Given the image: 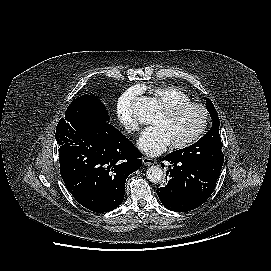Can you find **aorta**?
<instances>
[{"instance_id": "762f6f07", "label": "aorta", "mask_w": 271, "mask_h": 271, "mask_svg": "<svg viewBox=\"0 0 271 271\" xmlns=\"http://www.w3.org/2000/svg\"><path fill=\"white\" fill-rule=\"evenodd\" d=\"M157 109L156 102L150 98L146 97L142 99L139 113H140V119H146L145 117L150 116L153 114ZM147 179L150 182L157 183L162 180L163 177V170L159 166H151L146 171Z\"/></svg>"}]
</instances>
